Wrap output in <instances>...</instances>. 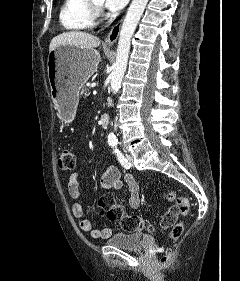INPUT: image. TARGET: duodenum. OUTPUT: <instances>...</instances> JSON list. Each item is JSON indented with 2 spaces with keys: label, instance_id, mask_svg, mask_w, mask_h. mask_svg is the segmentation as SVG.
<instances>
[{
  "label": "duodenum",
  "instance_id": "duodenum-1",
  "mask_svg": "<svg viewBox=\"0 0 240 281\" xmlns=\"http://www.w3.org/2000/svg\"><path fill=\"white\" fill-rule=\"evenodd\" d=\"M100 124L102 127L107 128L109 124V115L106 112H102L100 115Z\"/></svg>",
  "mask_w": 240,
  "mask_h": 281
}]
</instances>
